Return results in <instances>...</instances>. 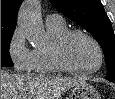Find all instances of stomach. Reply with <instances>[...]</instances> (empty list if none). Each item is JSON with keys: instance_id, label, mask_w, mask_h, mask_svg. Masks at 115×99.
<instances>
[{"instance_id": "stomach-1", "label": "stomach", "mask_w": 115, "mask_h": 99, "mask_svg": "<svg viewBox=\"0 0 115 99\" xmlns=\"http://www.w3.org/2000/svg\"><path fill=\"white\" fill-rule=\"evenodd\" d=\"M70 99H100V96L93 85L82 82L73 87Z\"/></svg>"}]
</instances>
